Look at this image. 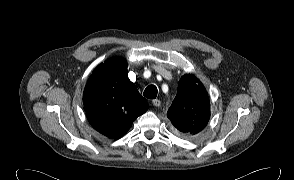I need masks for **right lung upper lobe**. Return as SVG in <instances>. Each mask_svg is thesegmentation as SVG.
<instances>
[{"label": "right lung upper lobe", "mask_w": 294, "mask_h": 180, "mask_svg": "<svg viewBox=\"0 0 294 180\" xmlns=\"http://www.w3.org/2000/svg\"><path fill=\"white\" fill-rule=\"evenodd\" d=\"M84 109L92 127L109 138H120L148 104L127 76V63L114 57L98 65L83 94Z\"/></svg>", "instance_id": "cb5924a9"}]
</instances>
